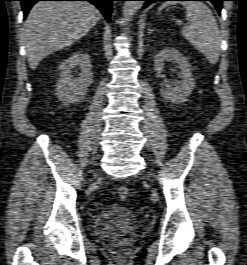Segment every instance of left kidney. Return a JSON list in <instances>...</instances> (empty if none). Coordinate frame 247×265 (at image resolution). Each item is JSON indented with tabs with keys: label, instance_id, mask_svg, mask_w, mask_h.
I'll list each match as a JSON object with an SVG mask.
<instances>
[{
	"label": "left kidney",
	"instance_id": "5707ae66",
	"mask_svg": "<svg viewBox=\"0 0 247 265\" xmlns=\"http://www.w3.org/2000/svg\"><path fill=\"white\" fill-rule=\"evenodd\" d=\"M166 61L174 62L180 68L179 79L170 84H163L162 96L172 103L181 104L187 101L194 88L191 66L187 59L176 49L166 47L154 59V69L157 73L163 71Z\"/></svg>",
	"mask_w": 247,
	"mask_h": 265
}]
</instances>
